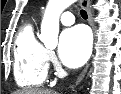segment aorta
Listing matches in <instances>:
<instances>
[{
  "instance_id": "762f6f07",
  "label": "aorta",
  "mask_w": 121,
  "mask_h": 94,
  "mask_svg": "<svg viewBox=\"0 0 121 94\" xmlns=\"http://www.w3.org/2000/svg\"><path fill=\"white\" fill-rule=\"evenodd\" d=\"M75 0H49L41 22L40 40L47 48H55L58 43L59 18L61 13Z\"/></svg>"
}]
</instances>
